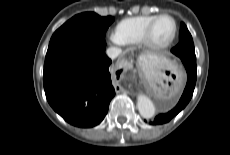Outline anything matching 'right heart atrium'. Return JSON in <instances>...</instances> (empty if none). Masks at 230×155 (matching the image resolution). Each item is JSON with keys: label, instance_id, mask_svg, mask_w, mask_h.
<instances>
[{"label": "right heart atrium", "instance_id": "1", "mask_svg": "<svg viewBox=\"0 0 230 155\" xmlns=\"http://www.w3.org/2000/svg\"><path fill=\"white\" fill-rule=\"evenodd\" d=\"M108 40L114 45H117V46L123 45V43L119 40V38L117 37L115 33H111L108 36Z\"/></svg>", "mask_w": 230, "mask_h": 155}]
</instances>
